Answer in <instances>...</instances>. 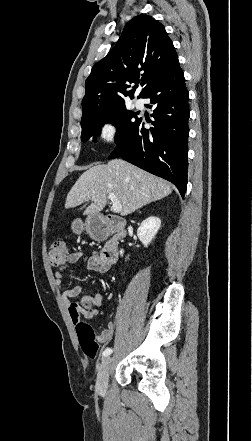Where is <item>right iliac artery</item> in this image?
Here are the masks:
<instances>
[{
  "label": "right iliac artery",
  "instance_id": "82829eb1",
  "mask_svg": "<svg viewBox=\"0 0 252 441\" xmlns=\"http://www.w3.org/2000/svg\"><path fill=\"white\" fill-rule=\"evenodd\" d=\"M112 353V349L111 348H106L103 352V356H108Z\"/></svg>",
  "mask_w": 252,
  "mask_h": 441
}]
</instances>
